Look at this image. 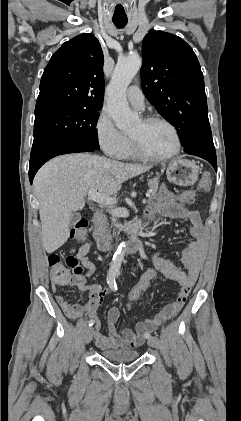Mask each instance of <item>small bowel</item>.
I'll use <instances>...</instances> for the list:
<instances>
[{"label":"small bowel","instance_id":"1","mask_svg":"<svg viewBox=\"0 0 241 421\" xmlns=\"http://www.w3.org/2000/svg\"><path fill=\"white\" fill-rule=\"evenodd\" d=\"M147 216L149 218L162 216L187 220L190 223L189 232L192 237V241L182 250L178 260L168 259L159 254L148 257V260L165 278L180 285L175 300L169 303L156 317L137 322L135 330L128 328L117 329L116 323L120 312L117 306H112L107 312L108 334L103 335L100 332L102 323L97 316V310L108 292L97 284L87 282L96 271L94 263L88 258L90 246L87 243L81 245L77 251L72 250L70 252L86 269V273H81L70 281L54 284V290H56L55 286L73 284L81 291L88 293V300L84 304L69 303L60 294L56 295V300L69 319L75 320L87 315L94 320V339L97 346L102 350L134 349L139 347L149 332L179 313L199 276L207 243V231L199 212L182 206L167 187H162L150 200L147 207Z\"/></svg>","mask_w":241,"mask_h":421}]
</instances>
